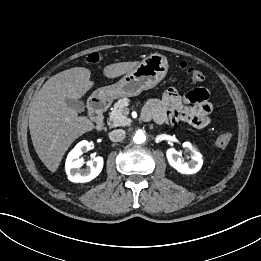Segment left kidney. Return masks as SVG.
Here are the masks:
<instances>
[{
  "mask_svg": "<svg viewBox=\"0 0 261 261\" xmlns=\"http://www.w3.org/2000/svg\"><path fill=\"white\" fill-rule=\"evenodd\" d=\"M183 147L191 151V160L186 162L182 159L175 148H169L166 151V157L169 164L181 174H194L198 172L202 165L203 159L200 152L192 146L190 142L183 143Z\"/></svg>",
  "mask_w": 261,
  "mask_h": 261,
  "instance_id": "left-kidney-1",
  "label": "left kidney"
}]
</instances>
